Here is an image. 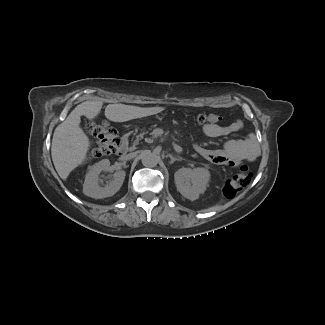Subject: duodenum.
Masks as SVG:
<instances>
[{"instance_id": "1", "label": "duodenum", "mask_w": 325, "mask_h": 325, "mask_svg": "<svg viewBox=\"0 0 325 325\" xmlns=\"http://www.w3.org/2000/svg\"><path fill=\"white\" fill-rule=\"evenodd\" d=\"M128 149V142L125 137L121 138L117 147H116V153L120 157H124L126 155Z\"/></svg>"}]
</instances>
